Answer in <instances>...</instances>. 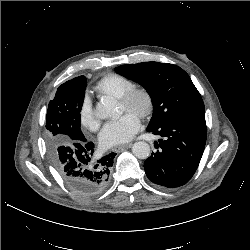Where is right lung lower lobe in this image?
Wrapping results in <instances>:
<instances>
[{
  "instance_id": "1",
  "label": "right lung lower lobe",
  "mask_w": 250,
  "mask_h": 250,
  "mask_svg": "<svg viewBox=\"0 0 250 250\" xmlns=\"http://www.w3.org/2000/svg\"><path fill=\"white\" fill-rule=\"evenodd\" d=\"M94 144L84 137L71 145H60L50 158L64 182L79 196L93 197L109 183L116 153L94 158Z\"/></svg>"
}]
</instances>
